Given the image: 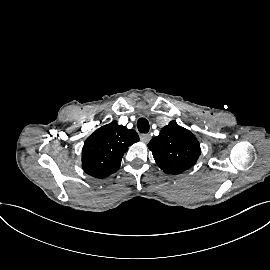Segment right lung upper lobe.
I'll return each instance as SVG.
<instances>
[{
  "mask_svg": "<svg viewBox=\"0 0 270 270\" xmlns=\"http://www.w3.org/2000/svg\"><path fill=\"white\" fill-rule=\"evenodd\" d=\"M137 141L139 136L135 130L118 125L115 121L100 127L84 143L83 170L96 178L113 174L119 169L128 147Z\"/></svg>",
  "mask_w": 270,
  "mask_h": 270,
  "instance_id": "cb5924a9",
  "label": "right lung upper lobe"
}]
</instances>
